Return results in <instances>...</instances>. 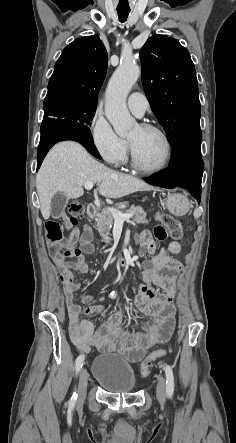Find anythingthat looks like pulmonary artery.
<instances>
[{
    "label": "pulmonary artery",
    "instance_id": "e3ab8cb5",
    "mask_svg": "<svg viewBox=\"0 0 236 443\" xmlns=\"http://www.w3.org/2000/svg\"><path fill=\"white\" fill-rule=\"evenodd\" d=\"M130 111L138 117L144 115L149 107L148 100L140 92H133L129 95L127 101Z\"/></svg>",
    "mask_w": 236,
    "mask_h": 443
}]
</instances>
